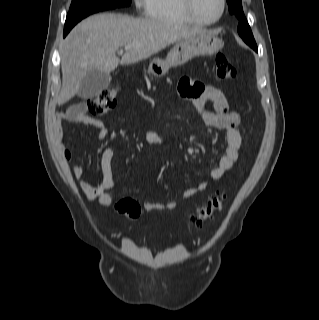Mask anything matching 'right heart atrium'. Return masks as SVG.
Here are the masks:
<instances>
[{
    "instance_id": "obj_1",
    "label": "right heart atrium",
    "mask_w": 319,
    "mask_h": 320,
    "mask_svg": "<svg viewBox=\"0 0 319 320\" xmlns=\"http://www.w3.org/2000/svg\"><path fill=\"white\" fill-rule=\"evenodd\" d=\"M136 9L138 10H144L147 8L149 0H133Z\"/></svg>"
}]
</instances>
